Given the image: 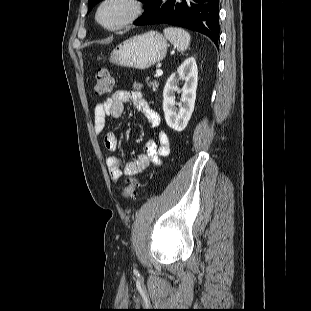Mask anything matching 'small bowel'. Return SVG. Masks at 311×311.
Here are the masks:
<instances>
[{
  "label": "small bowel",
  "instance_id": "1",
  "mask_svg": "<svg viewBox=\"0 0 311 311\" xmlns=\"http://www.w3.org/2000/svg\"><path fill=\"white\" fill-rule=\"evenodd\" d=\"M131 102L134 108L143 114L152 128L160 125L159 114L152 109L144 95L136 87L134 90H117L110 97L99 102L94 111L93 129L101 134L108 118L122 116L125 104ZM105 149L113 153L117 149V137L113 132H107L103 138ZM170 152V139L166 132L159 131L157 141L149 139L144 144V153L138 155L133 161L123 163V160L111 154L106 159V166L112 180L117 181L123 174L136 176L143 174L151 163L161 164V159Z\"/></svg>",
  "mask_w": 311,
  "mask_h": 311
}]
</instances>
